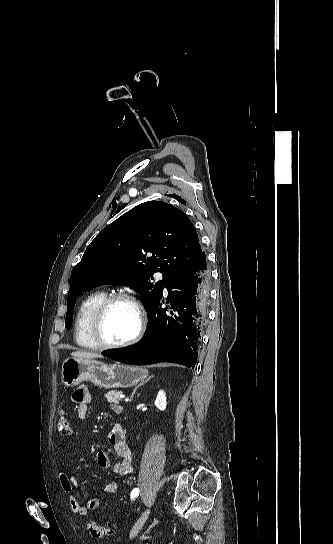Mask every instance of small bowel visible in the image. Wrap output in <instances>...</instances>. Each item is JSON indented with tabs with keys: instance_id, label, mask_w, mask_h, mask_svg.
Segmentation results:
<instances>
[{
	"instance_id": "c3829d8e",
	"label": "small bowel",
	"mask_w": 333,
	"mask_h": 544,
	"mask_svg": "<svg viewBox=\"0 0 333 544\" xmlns=\"http://www.w3.org/2000/svg\"><path fill=\"white\" fill-rule=\"evenodd\" d=\"M72 400L77 407V414L81 420L87 418L89 404L92 401V396L86 386H80L72 394ZM112 410L116 413L121 412L118 405H112ZM107 439L114 454L119 460L113 465V472L118 475H129L132 472V453L126 443V438L123 429L119 424H114L108 431ZM96 462L102 469L111 467V461L106 451H100L97 454ZM60 481L63 489L69 496V504L73 513L85 516L89 510H95L100 505V500L97 497H92L85 504L81 503L77 496V483L75 478L61 473ZM118 491V485L115 482L108 483L105 487V493L115 494Z\"/></svg>"
}]
</instances>
